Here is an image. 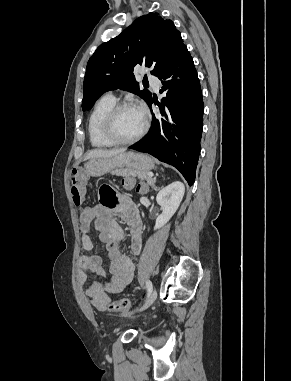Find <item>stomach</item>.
<instances>
[{"label": "stomach", "instance_id": "0dacf381", "mask_svg": "<svg viewBox=\"0 0 291 381\" xmlns=\"http://www.w3.org/2000/svg\"><path fill=\"white\" fill-rule=\"evenodd\" d=\"M124 167L130 170L148 172L154 168V161L146 154L124 152L111 157L90 159L84 166V173L89 176L100 177L112 170Z\"/></svg>", "mask_w": 291, "mask_h": 381}]
</instances>
